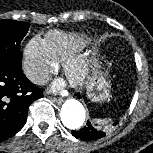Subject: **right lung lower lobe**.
I'll return each instance as SVG.
<instances>
[{
	"instance_id": "98d812e1",
	"label": "right lung lower lobe",
	"mask_w": 153,
	"mask_h": 153,
	"mask_svg": "<svg viewBox=\"0 0 153 153\" xmlns=\"http://www.w3.org/2000/svg\"><path fill=\"white\" fill-rule=\"evenodd\" d=\"M43 97L21 65L0 60V140L18 132L25 124L29 106Z\"/></svg>"
}]
</instances>
